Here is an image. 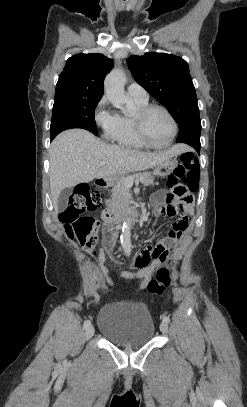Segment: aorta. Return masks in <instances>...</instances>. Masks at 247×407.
<instances>
[{
	"label": "aorta",
	"instance_id": "762f6f07",
	"mask_svg": "<svg viewBox=\"0 0 247 407\" xmlns=\"http://www.w3.org/2000/svg\"><path fill=\"white\" fill-rule=\"evenodd\" d=\"M126 77L121 69L111 71L105 78L104 90L107 98L114 105H125L129 102L125 94ZM121 244L126 254L131 253V220L126 219L122 226Z\"/></svg>",
	"mask_w": 247,
	"mask_h": 407
}]
</instances>
